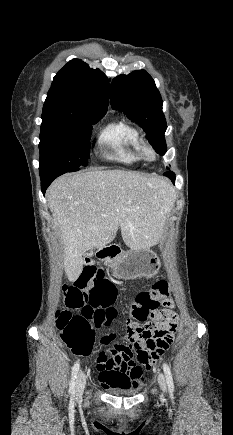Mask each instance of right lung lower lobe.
I'll return each instance as SVG.
<instances>
[{
	"mask_svg": "<svg viewBox=\"0 0 233 435\" xmlns=\"http://www.w3.org/2000/svg\"><path fill=\"white\" fill-rule=\"evenodd\" d=\"M60 175H62L61 172H55L52 174L40 176L41 177V190H42L43 194H45V191L48 188V186L51 184V182Z\"/></svg>",
	"mask_w": 233,
	"mask_h": 435,
	"instance_id": "obj_1",
	"label": "right lung lower lobe"
}]
</instances>
